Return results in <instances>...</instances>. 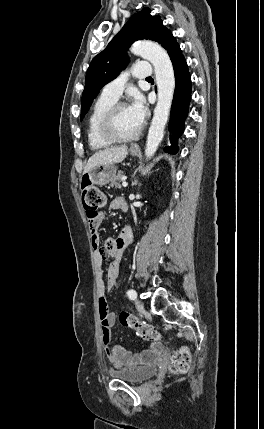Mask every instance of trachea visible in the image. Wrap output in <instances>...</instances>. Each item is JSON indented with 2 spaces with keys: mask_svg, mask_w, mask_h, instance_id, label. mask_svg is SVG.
<instances>
[{
  "mask_svg": "<svg viewBox=\"0 0 264 429\" xmlns=\"http://www.w3.org/2000/svg\"><path fill=\"white\" fill-rule=\"evenodd\" d=\"M147 79H148V80H150V79H152V78H151V77H148Z\"/></svg>",
  "mask_w": 264,
  "mask_h": 429,
  "instance_id": "trachea-1",
  "label": "trachea"
}]
</instances>
